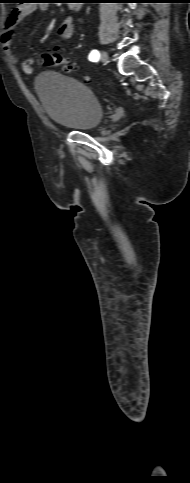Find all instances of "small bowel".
<instances>
[{"label": "small bowel", "mask_w": 190, "mask_h": 483, "mask_svg": "<svg viewBox=\"0 0 190 483\" xmlns=\"http://www.w3.org/2000/svg\"><path fill=\"white\" fill-rule=\"evenodd\" d=\"M36 9L41 12L46 11L47 7L42 5L36 7L33 4H23L19 7L14 8L6 19V27L2 34V45L3 50L8 57V59L14 63L19 64L21 70L25 74H31L33 71L32 59L20 60L18 54L13 50L12 40L16 26L27 16L32 14ZM58 35L64 40H70L74 34V25L71 17L64 19L57 28Z\"/></svg>", "instance_id": "small-bowel-1"}]
</instances>
